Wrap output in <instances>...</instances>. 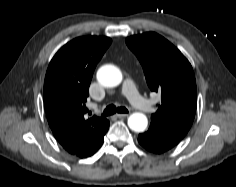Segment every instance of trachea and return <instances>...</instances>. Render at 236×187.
<instances>
[{"label": "trachea", "mask_w": 236, "mask_h": 187, "mask_svg": "<svg viewBox=\"0 0 236 187\" xmlns=\"http://www.w3.org/2000/svg\"><path fill=\"white\" fill-rule=\"evenodd\" d=\"M128 113V110L125 107H116L115 105H109L106 107L102 116H110L115 113Z\"/></svg>", "instance_id": "trachea-1"}]
</instances>
